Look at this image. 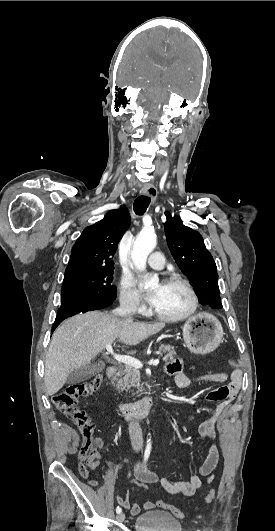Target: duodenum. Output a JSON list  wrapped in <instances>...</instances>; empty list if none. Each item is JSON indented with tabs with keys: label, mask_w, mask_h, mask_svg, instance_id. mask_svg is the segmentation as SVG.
I'll return each instance as SVG.
<instances>
[{
	"label": "duodenum",
	"mask_w": 275,
	"mask_h": 531,
	"mask_svg": "<svg viewBox=\"0 0 275 531\" xmlns=\"http://www.w3.org/2000/svg\"><path fill=\"white\" fill-rule=\"evenodd\" d=\"M116 371V366L110 365L105 369V376L107 378H112L115 376ZM154 404L153 398L151 396H147L134 403H120L117 405V409L123 417L133 419L145 415L154 407Z\"/></svg>",
	"instance_id": "1"
}]
</instances>
